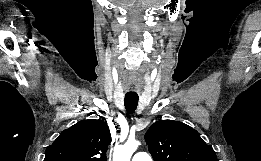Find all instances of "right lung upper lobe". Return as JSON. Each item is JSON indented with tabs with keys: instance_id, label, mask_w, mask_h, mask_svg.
<instances>
[{
	"instance_id": "obj_1",
	"label": "right lung upper lobe",
	"mask_w": 261,
	"mask_h": 161,
	"mask_svg": "<svg viewBox=\"0 0 261 161\" xmlns=\"http://www.w3.org/2000/svg\"><path fill=\"white\" fill-rule=\"evenodd\" d=\"M110 130L103 120H82L62 131L45 151L44 161H107Z\"/></svg>"
}]
</instances>
